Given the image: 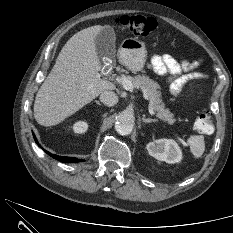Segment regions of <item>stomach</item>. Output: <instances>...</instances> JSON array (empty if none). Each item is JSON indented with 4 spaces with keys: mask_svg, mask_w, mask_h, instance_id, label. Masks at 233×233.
<instances>
[{
    "mask_svg": "<svg viewBox=\"0 0 233 233\" xmlns=\"http://www.w3.org/2000/svg\"><path fill=\"white\" fill-rule=\"evenodd\" d=\"M147 58L145 44L135 38L125 39L119 49L120 61L131 71H141Z\"/></svg>",
    "mask_w": 233,
    "mask_h": 233,
    "instance_id": "stomach-1",
    "label": "stomach"
}]
</instances>
